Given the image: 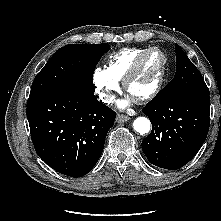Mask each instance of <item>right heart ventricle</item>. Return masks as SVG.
<instances>
[{
  "instance_id": "obj_1",
  "label": "right heart ventricle",
  "mask_w": 221,
  "mask_h": 221,
  "mask_svg": "<svg viewBox=\"0 0 221 221\" xmlns=\"http://www.w3.org/2000/svg\"><path fill=\"white\" fill-rule=\"evenodd\" d=\"M146 48H123L111 56L108 70L119 81L123 80L135 59Z\"/></svg>"
}]
</instances>
